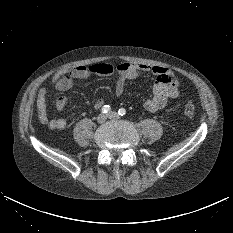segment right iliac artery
<instances>
[{
    "mask_svg": "<svg viewBox=\"0 0 233 233\" xmlns=\"http://www.w3.org/2000/svg\"><path fill=\"white\" fill-rule=\"evenodd\" d=\"M111 110L109 105H105L101 108L102 113H108Z\"/></svg>",
    "mask_w": 233,
    "mask_h": 233,
    "instance_id": "obj_1",
    "label": "right iliac artery"
}]
</instances>
